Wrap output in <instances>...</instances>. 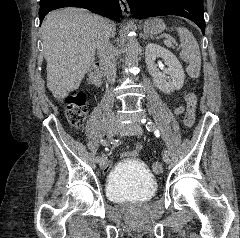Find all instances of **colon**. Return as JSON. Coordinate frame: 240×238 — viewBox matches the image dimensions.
<instances>
[{"label": "colon", "mask_w": 240, "mask_h": 238, "mask_svg": "<svg viewBox=\"0 0 240 238\" xmlns=\"http://www.w3.org/2000/svg\"><path fill=\"white\" fill-rule=\"evenodd\" d=\"M89 81L92 84H99L101 81V71L99 68H93L89 73ZM86 95L82 91L72 93L66 99V118L68 123L75 129H80L86 118ZM186 113L184 116V124L190 128L195 122L197 98L194 93L186 95ZM152 170L155 174H161L164 166L161 162H155L152 165Z\"/></svg>", "instance_id": "1"}]
</instances>
